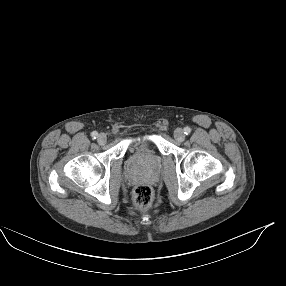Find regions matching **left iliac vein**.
<instances>
[{
	"mask_svg": "<svg viewBox=\"0 0 286 286\" xmlns=\"http://www.w3.org/2000/svg\"><path fill=\"white\" fill-rule=\"evenodd\" d=\"M174 138H175L177 141H179V142L184 141V139H185V134H184L183 130L180 129V128L176 129L175 132H174Z\"/></svg>",
	"mask_w": 286,
	"mask_h": 286,
	"instance_id": "1",
	"label": "left iliac vein"
}]
</instances>
